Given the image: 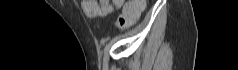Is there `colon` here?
Masks as SVG:
<instances>
[{"label":"colon","instance_id":"1","mask_svg":"<svg viewBox=\"0 0 238 70\" xmlns=\"http://www.w3.org/2000/svg\"><path fill=\"white\" fill-rule=\"evenodd\" d=\"M86 3H94V0H84ZM108 5L110 6V12H117V7H122L123 0H111ZM83 2V1H82ZM146 1L145 0H131L127 1L123 14L119 18L118 24L122 28L130 27L133 25L140 12L145 8ZM109 9L102 8L98 6H94L92 4H89L88 7L85 10V14L89 18H96L98 16H102L107 14Z\"/></svg>","mask_w":238,"mask_h":70}]
</instances>
